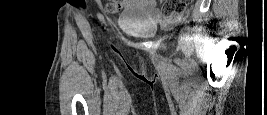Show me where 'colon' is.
Returning a JSON list of instances; mask_svg holds the SVG:
<instances>
[{
    "label": "colon",
    "mask_w": 267,
    "mask_h": 115,
    "mask_svg": "<svg viewBox=\"0 0 267 115\" xmlns=\"http://www.w3.org/2000/svg\"><path fill=\"white\" fill-rule=\"evenodd\" d=\"M120 2L117 0H112L107 5V10L109 12H116L120 8ZM190 3V0H165L161 13L164 17H172L176 13L182 11L185 6H187Z\"/></svg>",
    "instance_id": "colon-1"
}]
</instances>
